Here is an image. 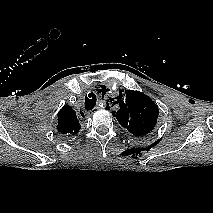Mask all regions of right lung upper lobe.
Listing matches in <instances>:
<instances>
[{"mask_svg": "<svg viewBox=\"0 0 213 213\" xmlns=\"http://www.w3.org/2000/svg\"><path fill=\"white\" fill-rule=\"evenodd\" d=\"M58 132L62 137H70L77 134L80 130V124L76 116V112L68 105L58 112Z\"/></svg>", "mask_w": 213, "mask_h": 213, "instance_id": "cb5924a9", "label": "right lung upper lobe"}]
</instances>
